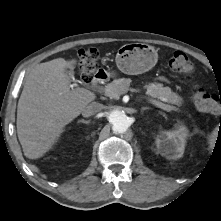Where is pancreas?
I'll use <instances>...</instances> for the list:
<instances>
[{
    "instance_id": "1",
    "label": "pancreas",
    "mask_w": 221,
    "mask_h": 221,
    "mask_svg": "<svg viewBox=\"0 0 221 221\" xmlns=\"http://www.w3.org/2000/svg\"><path fill=\"white\" fill-rule=\"evenodd\" d=\"M130 83L131 79L129 78L115 79L104 87L105 95L110 98L119 97L129 90ZM144 88L146 89V94L152 98H156L177 106H181L183 104V98L177 93L173 92L171 88L164 87L162 83H149L148 85L144 86ZM171 107L172 110L176 109L174 106Z\"/></svg>"
}]
</instances>
